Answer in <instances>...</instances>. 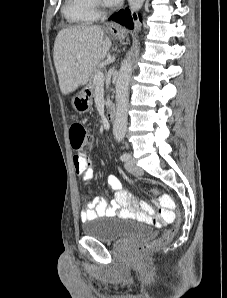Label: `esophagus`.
Returning <instances> with one entry per match:
<instances>
[{
  "instance_id": "1",
  "label": "esophagus",
  "mask_w": 227,
  "mask_h": 298,
  "mask_svg": "<svg viewBox=\"0 0 227 298\" xmlns=\"http://www.w3.org/2000/svg\"><path fill=\"white\" fill-rule=\"evenodd\" d=\"M109 29L112 31V32H116V31H119L120 27L118 24L114 23V22H111L109 24Z\"/></svg>"
}]
</instances>
